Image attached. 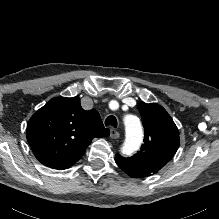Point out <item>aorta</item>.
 Listing matches in <instances>:
<instances>
[{"label": "aorta", "mask_w": 219, "mask_h": 219, "mask_svg": "<svg viewBox=\"0 0 219 219\" xmlns=\"http://www.w3.org/2000/svg\"><path fill=\"white\" fill-rule=\"evenodd\" d=\"M126 141L123 146V153L131 154L138 150L143 141V128L136 116L129 115L125 119Z\"/></svg>", "instance_id": "1"}]
</instances>
